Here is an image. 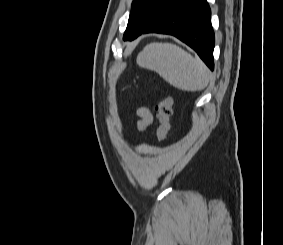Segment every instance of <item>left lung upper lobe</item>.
<instances>
[{
	"label": "left lung upper lobe",
	"instance_id": "obj_1",
	"mask_svg": "<svg viewBox=\"0 0 283 245\" xmlns=\"http://www.w3.org/2000/svg\"><path fill=\"white\" fill-rule=\"evenodd\" d=\"M174 0H133L123 40H133L150 26Z\"/></svg>",
	"mask_w": 283,
	"mask_h": 245
}]
</instances>
